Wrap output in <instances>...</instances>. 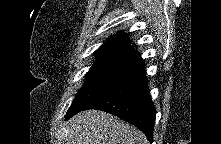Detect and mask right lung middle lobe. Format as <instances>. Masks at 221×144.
<instances>
[{
    "label": "right lung middle lobe",
    "mask_w": 221,
    "mask_h": 144,
    "mask_svg": "<svg viewBox=\"0 0 221 144\" xmlns=\"http://www.w3.org/2000/svg\"><path fill=\"white\" fill-rule=\"evenodd\" d=\"M142 63L138 55L126 53L97 54V60L86 74L85 84L73 100L66 118L87 107L98 96L117 85Z\"/></svg>",
    "instance_id": "1"
}]
</instances>
